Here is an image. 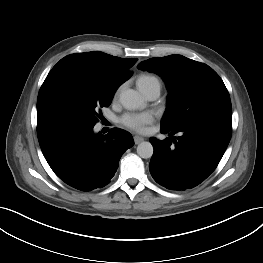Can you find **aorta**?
Segmentation results:
<instances>
[{
  "mask_svg": "<svg viewBox=\"0 0 263 263\" xmlns=\"http://www.w3.org/2000/svg\"><path fill=\"white\" fill-rule=\"evenodd\" d=\"M121 104L129 110H135L143 106L142 96L133 89H127L120 94ZM153 146L150 142H141L137 146V154L144 159L151 158L153 155Z\"/></svg>",
  "mask_w": 263,
  "mask_h": 263,
  "instance_id": "obj_1",
  "label": "aorta"
}]
</instances>
